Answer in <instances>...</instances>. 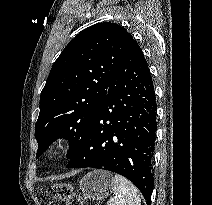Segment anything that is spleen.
<instances>
[{
  "label": "spleen",
  "mask_w": 212,
  "mask_h": 205,
  "mask_svg": "<svg viewBox=\"0 0 212 205\" xmlns=\"http://www.w3.org/2000/svg\"><path fill=\"white\" fill-rule=\"evenodd\" d=\"M112 179L114 195L107 205H141L140 193L129 180L119 174H115Z\"/></svg>",
  "instance_id": "1"
}]
</instances>
